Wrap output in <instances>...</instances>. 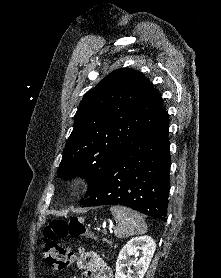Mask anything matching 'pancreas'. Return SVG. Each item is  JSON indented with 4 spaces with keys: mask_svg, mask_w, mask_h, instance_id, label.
I'll list each match as a JSON object with an SVG mask.
<instances>
[{
    "mask_svg": "<svg viewBox=\"0 0 221 278\" xmlns=\"http://www.w3.org/2000/svg\"><path fill=\"white\" fill-rule=\"evenodd\" d=\"M104 241H106L108 244H112V241H110V240H107V239H103Z\"/></svg>",
    "mask_w": 221,
    "mask_h": 278,
    "instance_id": "pancreas-1",
    "label": "pancreas"
}]
</instances>
